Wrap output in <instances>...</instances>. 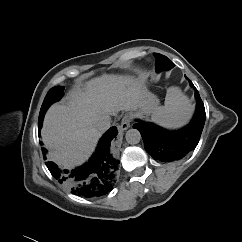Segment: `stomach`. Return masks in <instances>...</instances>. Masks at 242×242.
<instances>
[{
  "label": "stomach",
  "instance_id": "1",
  "mask_svg": "<svg viewBox=\"0 0 242 242\" xmlns=\"http://www.w3.org/2000/svg\"><path fill=\"white\" fill-rule=\"evenodd\" d=\"M143 89L148 93V96L146 98L147 101H149V105L152 106V110L155 109V107L158 105V99L155 95L148 92V90L145 87V83L142 82Z\"/></svg>",
  "mask_w": 242,
  "mask_h": 242
}]
</instances>
